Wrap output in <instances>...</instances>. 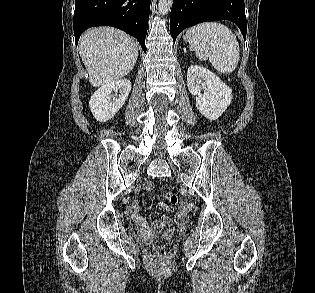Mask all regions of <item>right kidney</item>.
Wrapping results in <instances>:
<instances>
[{"label": "right kidney", "instance_id": "obj_1", "mask_svg": "<svg viewBox=\"0 0 315 293\" xmlns=\"http://www.w3.org/2000/svg\"><path fill=\"white\" fill-rule=\"evenodd\" d=\"M131 86L129 80L121 79L105 84L95 91L89 102L94 118L99 122H106L113 118L124 105Z\"/></svg>", "mask_w": 315, "mask_h": 293}]
</instances>
